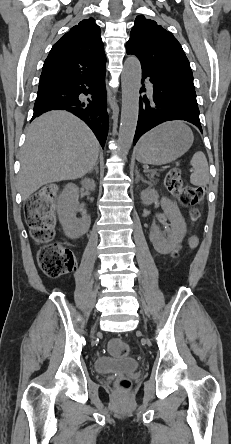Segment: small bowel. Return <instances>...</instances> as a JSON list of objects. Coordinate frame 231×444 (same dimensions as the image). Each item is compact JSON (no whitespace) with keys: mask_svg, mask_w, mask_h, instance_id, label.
<instances>
[{"mask_svg":"<svg viewBox=\"0 0 231 444\" xmlns=\"http://www.w3.org/2000/svg\"><path fill=\"white\" fill-rule=\"evenodd\" d=\"M198 243V240L196 238H191L190 239V246L191 248H194Z\"/></svg>","mask_w":231,"mask_h":444,"instance_id":"1","label":"small bowel"}]
</instances>
